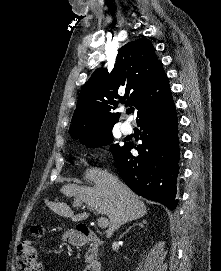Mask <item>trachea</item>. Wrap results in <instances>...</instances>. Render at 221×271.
I'll use <instances>...</instances> for the list:
<instances>
[{"instance_id":"1","label":"trachea","mask_w":221,"mask_h":271,"mask_svg":"<svg viewBox=\"0 0 221 271\" xmlns=\"http://www.w3.org/2000/svg\"><path fill=\"white\" fill-rule=\"evenodd\" d=\"M127 113H134V108L130 107L126 110Z\"/></svg>"}]
</instances>
